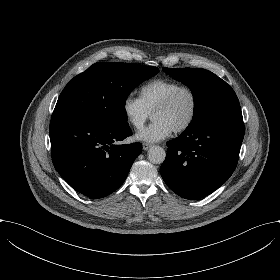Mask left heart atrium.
<instances>
[{
  "mask_svg": "<svg viewBox=\"0 0 280 280\" xmlns=\"http://www.w3.org/2000/svg\"><path fill=\"white\" fill-rule=\"evenodd\" d=\"M174 130V127L165 120L155 119L148 127L137 132L134 137L138 141L156 143L168 138Z\"/></svg>",
  "mask_w": 280,
  "mask_h": 280,
  "instance_id": "left-heart-atrium-1",
  "label": "left heart atrium"
}]
</instances>
